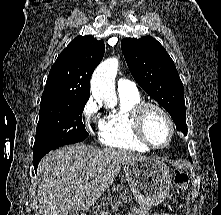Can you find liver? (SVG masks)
<instances>
[{
    "mask_svg": "<svg viewBox=\"0 0 221 215\" xmlns=\"http://www.w3.org/2000/svg\"><path fill=\"white\" fill-rule=\"evenodd\" d=\"M147 159L140 154L84 144L62 147L44 156L37 169L38 215L85 211L112 185L121 167Z\"/></svg>",
    "mask_w": 221,
    "mask_h": 215,
    "instance_id": "6515ba94",
    "label": "liver"
}]
</instances>
